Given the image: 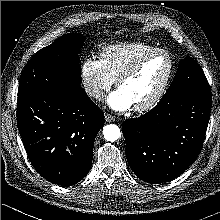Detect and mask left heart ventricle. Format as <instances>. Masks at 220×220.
Segmentation results:
<instances>
[{"label": "left heart ventricle", "instance_id": "obj_1", "mask_svg": "<svg viewBox=\"0 0 220 220\" xmlns=\"http://www.w3.org/2000/svg\"><path fill=\"white\" fill-rule=\"evenodd\" d=\"M168 70L169 59L163 54H156L148 58L140 70L123 81L119 88L130 98L133 106L139 105L152 98L159 90Z\"/></svg>", "mask_w": 220, "mask_h": 220}]
</instances>
